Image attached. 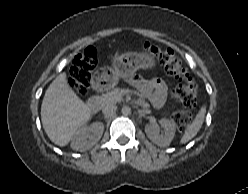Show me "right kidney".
Listing matches in <instances>:
<instances>
[{
    "instance_id": "ca27d5eb",
    "label": "right kidney",
    "mask_w": 248,
    "mask_h": 194,
    "mask_svg": "<svg viewBox=\"0 0 248 194\" xmlns=\"http://www.w3.org/2000/svg\"><path fill=\"white\" fill-rule=\"evenodd\" d=\"M103 131L104 124L101 122L80 127L72 138L71 148L80 152L90 149L100 140Z\"/></svg>"
}]
</instances>
